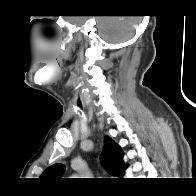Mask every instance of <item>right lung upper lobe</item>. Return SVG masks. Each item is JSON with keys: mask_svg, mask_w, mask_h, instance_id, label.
Masks as SVG:
<instances>
[{"mask_svg": "<svg viewBox=\"0 0 196 196\" xmlns=\"http://www.w3.org/2000/svg\"><path fill=\"white\" fill-rule=\"evenodd\" d=\"M104 151L102 154V162L107 171L114 176H121V170L125 168L123 163V152L121 148L108 136L104 139ZM63 164H54L48 167L40 176L44 180L54 181L64 172Z\"/></svg>", "mask_w": 196, "mask_h": 196, "instance_id": "cb5924a9", "label": "right lung upper lobe"}]
</instances>
